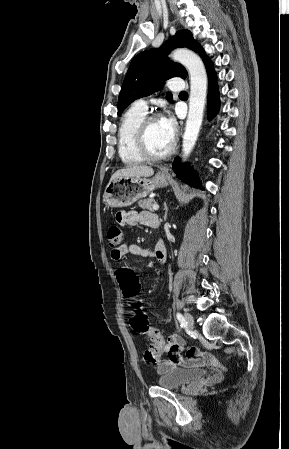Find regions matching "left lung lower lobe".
<instances>
[{
    "mask_svg": "<svg viewBox=\"0 0 289 449\" xmlns=\"http://www.w3.org/2000/svg\"><path fill=\"white\" fill-rule=\"evenodd\" d=\"M203 62L205 64L207 74H208V119L211 120L218 112L220 107L219 101V90L217 85V77L213 68L211 60L207 57H203ZM173 169L177 174V177L182 179V181L192 185L193 187H198L202 189L201 183L197 178L196 172L189 170L187 166L181 167L179 158L177 157L173 163Z\"/></svg>",
    "mask_w": 289,
    "mask_h": 449,
    "instance_id": "obj_1",
    "label": "left lung lower lobe"
}]
</instances>
